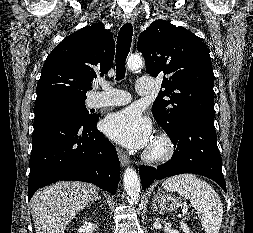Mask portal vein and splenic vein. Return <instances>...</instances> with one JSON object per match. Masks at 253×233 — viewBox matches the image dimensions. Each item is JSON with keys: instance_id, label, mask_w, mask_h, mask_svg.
<instances>
[{"instance_id": "obj_1", "label": "portal vein and splenic vein", "mask_w": 253, "mask_h": 233, "mask_svg": "<svg viewBox=\"0 0 253 233\" xmlns=\"http://www.w3.org/2000/svg\"><path fill=\"white\" fill-rule=\"evenodd\" d=\"M186 212H187V206H185V207L183 208L182 215H185Z\"/></svg>"}]
</instances>
